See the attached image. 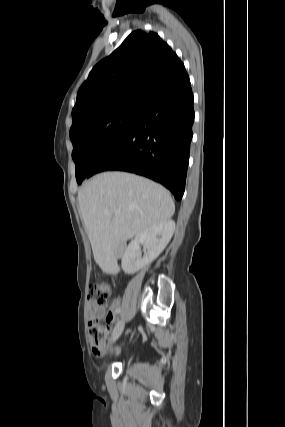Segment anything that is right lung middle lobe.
Segmentation results:
<instances>
[{"instance_id": "obj_1", "label": "right lung middle lobe", "mask_w": 285, "mask_h": 427, "mask_svg": "<svg viewBox=\"0 0 285 427\" xmlns=\"http://www.w3.org/2000/svg\"><path fill=\"white\" fill-rule=\"evenodd\" d=\"M143 105H131L86 123L70 134L78 184L123 139L141 114Z\"/></svg>"}]
</instances>
